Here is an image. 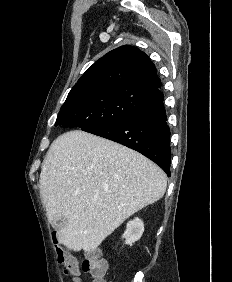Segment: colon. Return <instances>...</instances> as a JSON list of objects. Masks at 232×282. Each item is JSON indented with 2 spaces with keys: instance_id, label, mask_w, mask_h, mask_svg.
Returning a JSON list of instances; mask_svg holds the SVG:
<instances>
[{
  "instance_id": "5ec220e1",
  "label": "colon",
  "mask_w": 232,
  "mask_h": 282,
  "mask_svg": "<svg viewBox=\"0 0 232 282\" xmlns=\"http://www.w3.org/2000/svg\"><path fill=\"white\" fill-rule=\"evenodd\" d=\"M56 256L58 262L65 265L66 274L77 278L81 273H85L89 275L91 282H107L108 264L97 253H90L86 259L80 262L75 256L58 247Z\"/></svg>"
}]
</instances>
